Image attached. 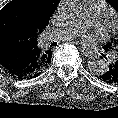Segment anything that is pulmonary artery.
I'll list each match as a JSON object with an SVG mask.
<instances>
[{
    "label": "pulmonary artery",
    "instance_id": "e3ab8cb5",
    "mask_svg": "<svg viewBox=\"0 0 118 118\" xmlns=\"http://www.w3.org/2000/svg\"><path fill=\"white\" fill-rule=\"evenodd\" d=\"M105 10L104 0H87L81 15L63 27L55 29L50 40L75 38L87 26L97 22L104 15ZM117 58L116 54H112L110 61L115 62Z\"/></svg>",
    "mask_w": 118,
    "mask_h": 118
}]
</instances>
